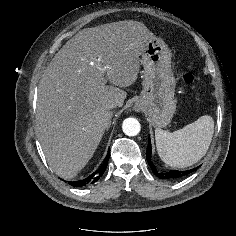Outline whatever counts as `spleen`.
<instances>
[{"mask_svg": "<svg viewBox=\"0 0 236 236\" xmlns=\"http://www.w3.org/2000/svg\"><path fill=\"white\" fill-rule=\"evenodd\" d=\"M214 120L204 115L172 133L155 129L158 155L169 166L185 168L197 163L209 149Z\"/></svg>", "mask_w": 236, "mask_h": 236, "instance_id": "spleen-1", "label": "spleen"}]
</instances>
